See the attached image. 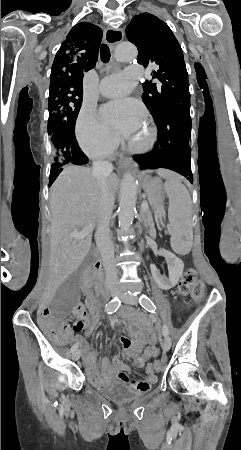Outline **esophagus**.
I'll use <instances>...</instances> for the list:
<instances>
[{
	"instance_id": "obj_1",
	"label": "esophagus",
	"mask_w": 241,
	"mask_h": 450,
	"mask_svg": "<svg viewBox=\"0 0 241 450\" xmlns=\"http://www.w3.org/2000/svg\"><path fill=\"white\" fill-rule=\"evenodd\" d=\"M123 30L107 28L104 31V41L113 50L115 46L123 40ZM133 165V160L131 158L123 159L119 162V168L124 169Z\"/></svg>"
}]
</instances>
